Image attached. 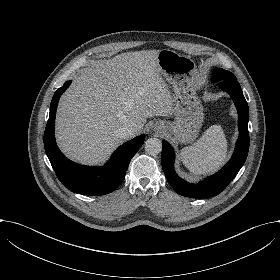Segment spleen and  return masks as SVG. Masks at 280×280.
<instances>
[{"instance_id": "1", "label": "spleen", "mask_w": 280, "mask_h": 280, "mask_svg": "<svg viewBox=\"0 0 280 280\" xmlns=\"http://www.w3.org/2000/svg\"><path fill=\"white\" fill-rule=\"evenodd\" d=\"M227 156L228 140L221 124L213 125L195 146L179 152L184 167L196 176L213 175L224 166Z\"/></svg>"}]
</instances>
